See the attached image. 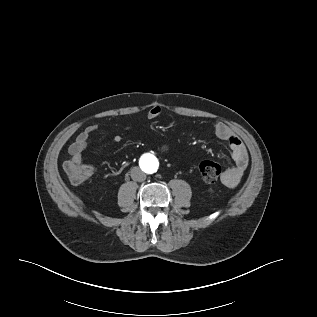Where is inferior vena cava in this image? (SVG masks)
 Segmentation results:
<instances>
[{
  "mask_svg": "<svg viewBox=\"0 0 317 317\" xmlns=\"http://www.w3.org/2000/svg\"><path fill=\"white\" fill-rule=\"evenodd\" d=\"M130 173L134 181L142 182L146 179V174L139 167H133Z\"/></svg>",
  "mask_w": 317,
  "mask_h": 317,
  "instance_id": "obj_1",
  "label": "inferior vena cava"
}]
</instances>
